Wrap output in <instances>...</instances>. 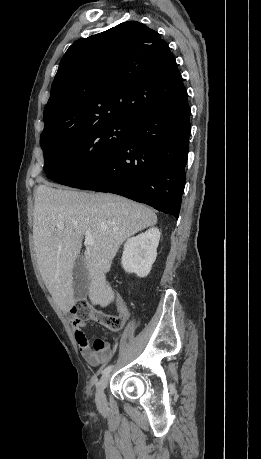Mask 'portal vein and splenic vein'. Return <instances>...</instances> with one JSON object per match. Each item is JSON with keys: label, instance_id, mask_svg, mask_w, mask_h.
Instances as JSON below:
<instances>
[{"label": "portal vein and splenic vein", "instance_id": "obj_1", "mask_svg": "<svg viewBox=\"0 0 261 459\" xmlns=\"http://www.w3.org/2000/svg\"><path fill=\"white\" fill-rule=\"evenodd\" d=\"M62 226H63V222H62V221H60L59 223H57V227H58V228H62ZM84 235H85V244H87V245L93 244L94 241H93L91 232L85 231Z\"/></svg>", "mask_w": 261, "mask_h": 459}]
</instances>
